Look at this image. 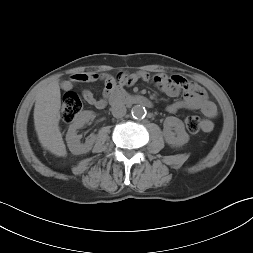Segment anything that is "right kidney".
<instances>
[{"instance_id": "ca27d5eb", "label": "right kidney", "mask_w": 253, "mask_h": 253, "mask_svg": "<svg viewBox=\"0 0 253 253\" xmlns=\"http://www.w3.org/2000/svg\"><path fill=\"white\" fill-rule=\"evenodd\" d=\"M92 117V111H83L74 119L73 123L69 126L68 132L66 134V141L71 153L79 155L87 153L92 149L96 141L95 135L91 134L86 139V142L84 144L80 143L81 137L77 135V129L83 127V125L89 122Z\"/></svg>"}]
</instances>
